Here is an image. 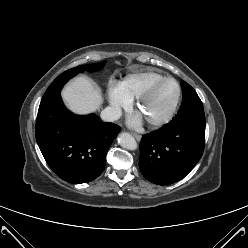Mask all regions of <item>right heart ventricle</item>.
<instances>
[{
  "instance_id": "obj_1",
  "label": "right heart ventricle",
  "mask_w": 248,
  "mask_h": 248,
  "mask_svg": "<svg viewBox=\"0 0 248 248\" xmlns=\"http://www.w3.org/2000/svg\"><path fill=\"white\" fill-rule=\"evenodd\" d=\"M163 78L165 76L156 71H144L129 74L120 85L123 93L130 100H133L140 96L150 85Z\"/></svg>"
}]
</instances>
